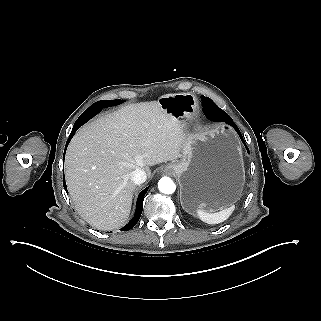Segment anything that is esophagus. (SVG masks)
Here are the masks:
<instances>
[{
	"mask_svg": "<svg viewBox=\"0 0 321 321\" xmlns=\"http://www.w3.org/2000/svg\"><path fill=\"white\" fill-rule=\"evenodd\" d=\"M161 170L165 173H172L174 172V167L172 165H168V166L162 167Z\"/></svg>",
	"mask_w": 321,
	"mask_h": 321,
	"instance_id": "obj_1",
	"label": "esophagus"
}]
</instances>
